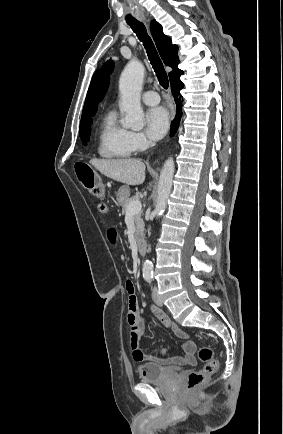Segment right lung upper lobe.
<instances>
[{
    "label": "right lung upper lobe",
    "mask_w": 283,
    "mask_h": 434,
    "mask_svg": "<svg viewBox=\"0 0 283 434\" xmlns=\"http://www.w3.org/2000/svg\"><path fill=\"white\" fill-rule=\"evenodd\" d=\"M150 28L161 58L167 66L173 69L169 73L170 80L179 73L183 74V71L177 67L179 62L178 46L172 44L171 39L163 33L162 26L156 20L151 21ZM113 66V61L109 60L94 74L86 96L80 124L92 121L91 117L96 113L97 104L102 100L108 88L109 74L112 72Z\"/></svg>",
    "instance_id": "cb5924a9"
}]
</instances>
